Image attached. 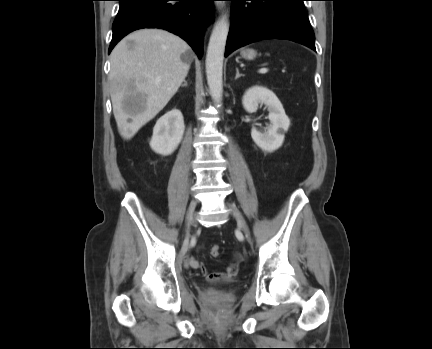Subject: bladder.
I'll list each match as a JSON object with an SVG mask.
<instances>
[{
  "instance_id": "obj_1",
  "label": "bladder",
  "mask_w": 432,
  "mask_h": 349,
  "mask_svg": "<svg viewBox=\"0 0 432 349\" xmlns=\"http://www.w3.org/2000/svg\"><path fill=\"white\" fill-rule=\"evenodd\" d=\"M218 294L216 293H206L204 297L206 298H216Z\"/></svg>"
}]
</instances>
